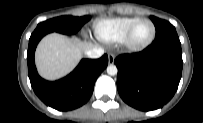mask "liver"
I'll list each match as a JSON object with an SVG mask.
<instances>
[{
	"mask_svg": "<svg viewBox=\"0 0 203 123\" xmlns=\"http://www.w3.org/2000/svg\"><path fill=\"white\" fill-rule=\"evenodd\" d=\"M93 47L96 46L90 42L51 33L37 46L35 62L38 72L47 80L62 78L75 68L82 53Z\"/></svg>",
	"mask_w": 203,
	"mask_h": 123,
	"instance_id": "6515ba94",
	"label": "liver"
}]
</instances>
